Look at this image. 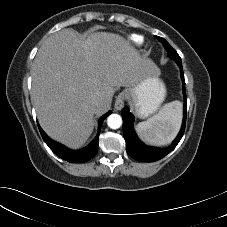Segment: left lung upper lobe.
<instances>
[{"label":"left lung upper lobe","instance_id":"1","mask_svg":"<svg viewBox=\"0 0 227 227\" xmlns=\"http://www.w3.org/2000/svg\"><path fill=\"white\" fill-rule=\"evenodd\" d=\"M156 37L158 38V40H160L163 43V46L166 49L168 55L170 57H172L176 61L177 64H182L181 58L178 55V53L176 52V50L164 38H161L158 36H156Z\"/></svg>","mask_w":227,"mask_h":227}]
</instances>
